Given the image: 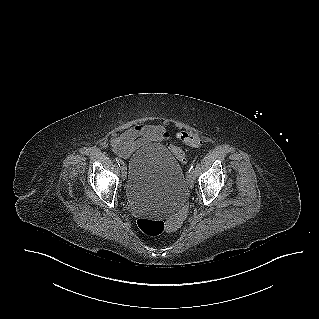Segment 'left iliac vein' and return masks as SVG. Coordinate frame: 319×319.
Instances as JSON below:
<instances>
[{
  "instance_id": "left-iliac-vein-1",
  "label": "left iliac vein",
  "mask_w": 319,
  "mask_h": 319,
  "mask_svg": "<svg viewBox=\"0 0 319 319\" xmlns=\"http://www.w3.org/2000/svg\"><path fill=\"white\" fill-rule=\"evenodd\" d=\"M187 182L190 188L194 187L195 182H194V177L192 176V174H189L187 176Z\"/></svg>"
}]
</instances>
